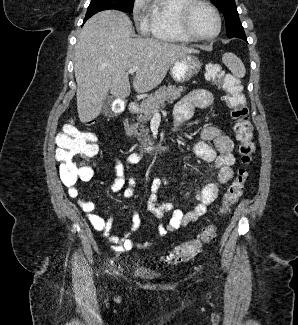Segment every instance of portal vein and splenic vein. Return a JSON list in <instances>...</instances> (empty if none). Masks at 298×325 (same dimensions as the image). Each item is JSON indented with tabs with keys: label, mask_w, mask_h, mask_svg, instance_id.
I'll return each mask as SVG.
<instances>
[{
	"label": "portal vein and splenic vein",
	"mask_w": 298,
	"mask_h": 325,
	"mask_svg": "<svg viewBox=\"0 0 298 325\" xmlns=\"http://www.w3.org/2000/svg\"><path fill=\"white\" fill-rule=\"evenodd\" d=\"M137 68H129L128 72H130V74H134V72H136ZM160 110H159V106H157V108H155L154 110V114H159Z\"/></svg>",
	"instance_id": "portal-vein-and-splenic-vein-1"
}]
</instances>
